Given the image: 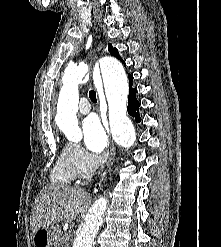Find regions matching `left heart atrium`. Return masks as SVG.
I'll return each instance as SVG.
<instances>
[{
  "label": "left heart atrium",
  "instance_id": "39dd6f15",
  "mask_svg": "<svg viewBox=\"0 0 221 247\" xmlns=\"http://www.w3.org/2000/svg\"><path fill=\"white\" fill-rule=\"evenodd\" d=\"M82 132L84 136V144L88 150L93 153L102 152L108 143L107 135L95 116H89L83 121Z\"/></svg>",
  "mask_w": 221,
  "mask_h": 247
}]
</instances>
